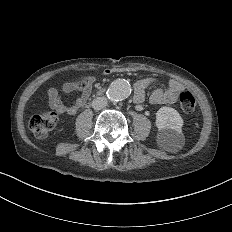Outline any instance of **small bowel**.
I'll return each mask as SVG.
<instances>
[{"label": "small bowel", "instance_id": "c3829d8e", "mask_svg": "<svg viewBox=\"0 0 232 232\" xmlns=\"http://www.w3.org/2000/svg\"><path fill=\"white\" fill-rule=\"evenodd\" d=\"M134 71L135 70L133 68L121 67L107 69L104 71V74L106 76H113L122 74H132ZM93 81V76H85L79 80L68 82L63 85L62 90L65 93H71L76 89H82L81 96L72 105L60 102L57 97V90L54 87H50L48 89V95L51 97L54 107H56V109H58L60 112L74 113L84 106L87 98L90 96L92 92ZM149 87L155 88V91L150 97V102L152 104L160 102H173L177 99L179 93H181L185 89L184 84L177 80L171 81L169 87L165 89L163 88L162 81L159 78H145L138 81L135 84V91L132 97L133 103L140 104L144 102L146 96V89Z\"/></svg>", "mask_w": 232, "mask_h": 232}]
</instances>
